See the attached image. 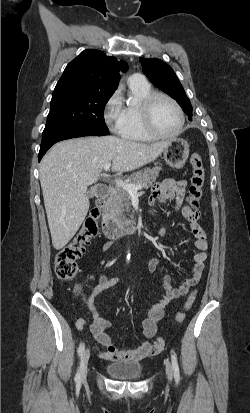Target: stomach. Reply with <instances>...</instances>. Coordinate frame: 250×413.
<instances>
[{"instance_id": "0dacf381", "label": "stomach", "mask_w": 250, "mask_h": 413, "mask_svg": "<svg viewBox=\"0 0 250 413\" xmlns=\"http://www.w3.org/2000/svg\"><path fill=\"white\" fill-rule=\"evenodd\" d=\"M189 156V145L181 138H174L168 141L167 147L163 151L166 163L172 168H182Z\"/></svg>"}]
</instances>
